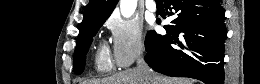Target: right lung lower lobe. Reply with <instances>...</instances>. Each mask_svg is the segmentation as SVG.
<instances>
[{"label":"right lung lower lobe","instance_id":"right-lung-lower-lobe-1","mask_svg":"<svg viewBox=\"0 0 260 84\" xmlns=\"http://www.w3.org/2000/svg\"><path fill=\"white\" fill-rule=\"evenodd\" d=\"M178 12L169 35L151 31L145 61L155 71L190 77L206 84L224 83L225 12L219 0H164ZM174 15V13H169Z\"/></svg>","mask_w":260,"mask_h":84}]
</instances>
